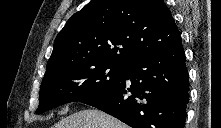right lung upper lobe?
Here are the masks:
<instances>
[{
  "instance_id": "right-lung-upper-lobe-1",
  "label": "right lung upper lobe",
  "mask_w": 221,
  "mask_h": 128,
  "mask_svg": "<svg viewBox=\"0 0 221 128\" xmlns=\"http://www.w3.org/2000/svg\"><path fill=\"white\" fill-rule=\"evenodd\" d=\"M181 42L163 0H92L57 35L46 73L74 62L127 66Z\"/></svg>"
}]
</instances>
